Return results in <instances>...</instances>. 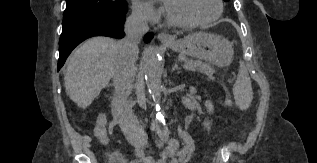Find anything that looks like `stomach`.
<instances>
[{
    "instance_id": "0dacf381",
    "label": "stomach",
    "mask_w": 317,
    "mask_h": 163,
    "mask_svg": "<svg viewBox=\"0 0 317 163\" xmlns=\"http://www.w3.org/2000/svg\"><path fill=\"white\" fill-rule=\"evenodd\" d=\"M186 56L203 59L218 66H227L233 60V48L225 38L204 32L192 33L173 43H164Z\"/></svg>"
}]
</instances>
